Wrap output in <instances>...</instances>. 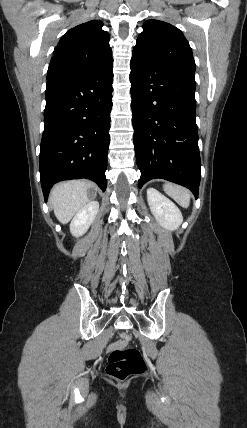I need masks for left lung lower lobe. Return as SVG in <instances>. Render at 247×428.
Returning a JSON list of instances; mask_svg holds the SVG:
<instances>
[{
	"label": "left lung lower lobe",
	"instance_id": "0a47b994",
	"mask_svg": "<svg viewBox=\"0 0 247 428\" xmlns=\"http://www.w3.org/2000/svg\"><path fill=\"white\" fill-rule=\"evenodd\" d=\"M130 68L138 186L162 178L189 188L198 198L195 79L136 53Z\"/></svg>",
	"mask_w": 247,
	"mask_h": 428
}]
</instances>
